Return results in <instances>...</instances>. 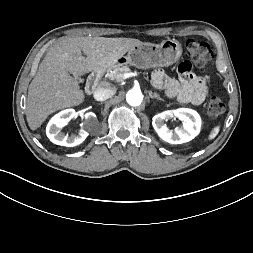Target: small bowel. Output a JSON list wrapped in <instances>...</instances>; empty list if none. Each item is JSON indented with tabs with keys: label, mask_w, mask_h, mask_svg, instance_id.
<instances>
[{
	"label": "small bowel",
	"mask_w": 253,
	"mask_h": 253,
	"mask_svg": "<svg viewBox=\"0 0 253 253\" xmlns=\"http://www.w3.org/2000/svg\"><path fill=\"white\" fill-rule=\"evenodd\" d=\"M181 74L179 79L169 77L164 70L157 69L153 72L151 82L156 88L162 89L169 97L181 102H190L200 105L208 95L207 82L211 76L209 69L202 71V76L194 75L197 72L195 63L183 59L177 66Z\"/></svg>",
	"instance_id": "c3829d8e"
}]
</instances>
